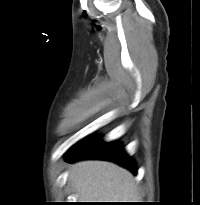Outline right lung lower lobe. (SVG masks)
Wrapping results in <instances>:
<instances>
[{
	"label": "right lung lower lobe",
	"mask_w": 200,
	"mask_h": 205,
	"mask_svg": "<svg viewBox=\"0 0 200 205\" xmlns=\"http://www.w3.org/2000/svg\"><path fill=\"white\" fill-rule=\"evenodd\" d=\"M81 159L113 161L136 173L135 162L126 155L120 143H104L96 136L79 141L70 148L66 156L67 162Z\"/></svg>",
	"instance_id": "obj_1"
}]
</instances>
